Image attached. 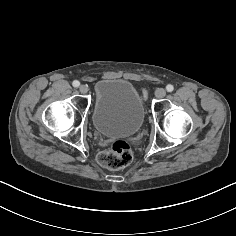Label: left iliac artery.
<instances>
[{
  "mask_svg": "<svg viewBox=\"0 0 236 236\" xmlns=\"http://www.w3.org/2000/svg\"><path fill=\"white\" fill-rule=\"evenodd\" d=\"M166 90H167L168 92H172V91L174 90L173 85H171V84L167 85V86H166Z\"/></svg>",
  "mask_w": 236,
  "mask_h": 236,
  "instance_id": "1",
  "label": "left iliac artery"
}]
</instances>
